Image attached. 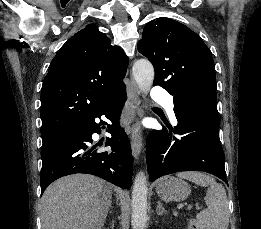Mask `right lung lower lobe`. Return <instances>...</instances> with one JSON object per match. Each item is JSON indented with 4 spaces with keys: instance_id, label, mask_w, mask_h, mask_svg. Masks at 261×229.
Here are the masks:
<instances>
[{
    "instance_id": "1",
    "label": "right lung lower lobe",
    "mask_w": 261,
    "mask_h": 229,
    "mask_svg": "<svg viewBox=\"0 0 261 229\" xmlns=\"http://www.w3.org/2000/svg\"><path fill=\"white\" fill-rule=\"evenodd\" d=\"M126 99V90L116 94L89 122L42 146L41 194L56 179L75 173L92 174L130 189L133 173L130 142L125 131L117 126ZM102 115L112 122L108 128L112 137L105 142L112 149L105 152L99 151L98 145H90L92 134L100 133V125L105 123L95 122Z\"/></svg>"
}]
</instances>
